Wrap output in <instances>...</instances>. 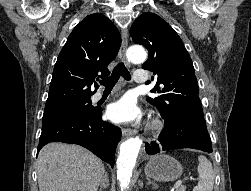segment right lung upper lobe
I'll list each match as a JSON object with an SVG mask.
<instances>
[{"label":"right lung upper lobe","instance_id":"right-lung-upper-lobe-1","mask_svg":"<svg viewBox=\"0 0 251 191\" xmlns=\"http://www.w3.org/2000/svg\"><path fill=\"white\" fill-rule=\"evenodd\" d=\"M120 45V33L106 16L94 13L85 17L58 56L45 109L90 99L96 92L90 86L98 74L102 78L110 74L107 67Z\"/></svg>","mask_w":251,"mask_h":191}]
</instances>
